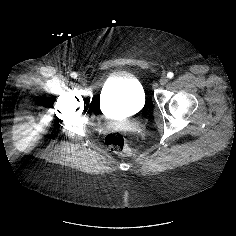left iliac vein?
<instances>
[{
    "label": "left iliac vein",
    "mask_w": 236,
    "mask_h": 236,
    "mask_svg": "<svg viewBox=\"0 0 236 236\" xmlns=\"http://www.w3.org/2000/svg\"><path fill=\"white\" fill-rule=\"evenodd\" d=\"M167 82H168V78H167V76H165V75H163V76L160 78V80H159V83H160L161 85H165Z\"/></svg>",
    "instance_id": "4c4485c4"
}]
</instances>
